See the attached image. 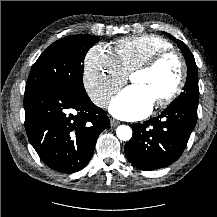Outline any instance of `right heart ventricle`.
Wrapping results in <instances>:
<instances>
[{
	"label": "right heart ventricle",
	"instance_id": "obj_1",
	"mask_svg": "<svg viewBox=\"0 0 217 217\" xmlns=\"http://www.w3.org/2000/svg\"><path fill=\"white\" fill-rule=\"evenodd\" d=\"M167 50H172V44L165 38L152 34L121 38L115 42L116 60L126 74Z\"/></svg>",
	"mask_w": 217,
	"mask_h": 217
}]
</instances>
